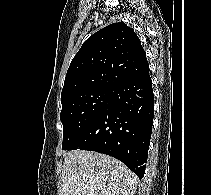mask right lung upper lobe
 I'll list each match as a JSON object with an SVG mask.
<instances>
[{
  "label": "right lung upper lobe",
  "mask_w": 211,
  "mask_h": 195,
  "mask_svg": "<svg viewBox=\"0 0 211 195\" xmlns=\"http://www.w3.org/2000/svg\"><path fill=\"white\" fill-rule=\"evenodd\" d=\"M148 72L146 53L134 29L113 23L83 43L67 71L61 101L89 89H111Z\"/></svg>",
  "instance_id": "right-lung-upper-lobe-1"
}]
</instances>
